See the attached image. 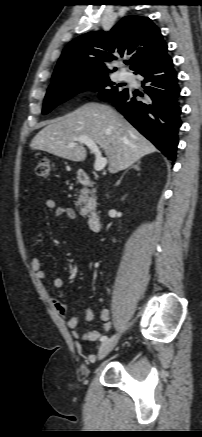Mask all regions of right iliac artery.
Returning a JSON list of instances; mask_svg holds the SVG:
<instances>
[{
	"instance_id": "1",
	"label": "right iliac artery",
	"mask_w": 202,
	"mask_h": 437,
	"mask_svg": "<svg viewBox=\"0 0 202 437\" xmlns=\"http://www.w3.org/2000/svg\"><path fill=\"white\" fill-rule=\"evenodd\" d=\"M107 339H108L107 336H102V337L100 338V341H101V342H104V341H106Z\"/></svg>"
}]
</instances>
